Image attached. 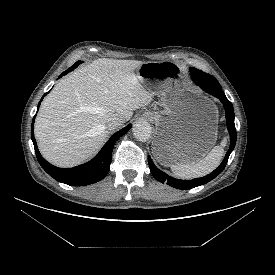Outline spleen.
<instances>
[{"instance_id":"3e777b00","label":"spleen","mask_w":275,"mask_h":275,"mask_svg":"<svg viewBox=\"0 0 275 275\" xmlns=\"http://www.w3.org/2000/svg\"><path fill=\"white\" fill-rule=\"evenodd\" d=\"M225 145L226 139H223L220 146H215L206 157L197 162L172 164L171 170L173 174L183 179H192L207 175L220 164Z\"/></svg>"}]
</instances>
